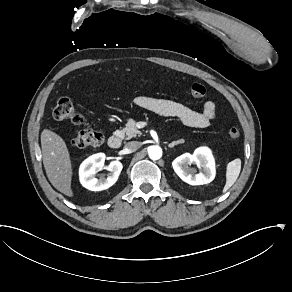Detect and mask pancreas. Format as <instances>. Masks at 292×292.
Masks as SVG:
<instances>
[{"label":"pancreas","mask_w":292,"mask_h":292,"mask_svg":"<svg viewBox=\"0 0 292 292\" xmlns=\"http://www.w3.org/2000/svg\"><path fill=\"white\" fill-rule=\"evenodd\" d=\"M124 134L127 136L126 139H131L136 135H141V132L137 129L136 122L133 119H128L125 128L117 132L116 136L119 138H124Z\"/></svg>","instance_id":"obj_1"}]
</instances>
